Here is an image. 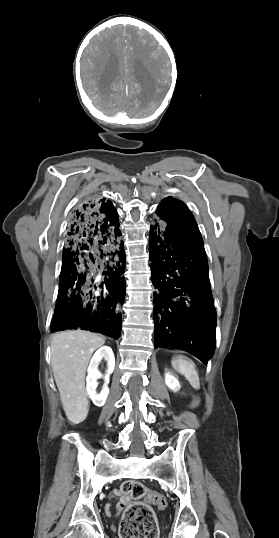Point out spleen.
<instances>
[{"label": "spleen", "mask_w": 279, "mask_h": 538, "mask_svg": "<svg viewBox=\"0 0 279 538\" xmlns=\"http://www.w3.org/2000/svg\"><path fill=\"white\" fill-rule=\"evenodd\" d=\"M171 366L174 368V370H176V372L183 374L193 388L199 387V378L193 362L183 360V356H180V358H173ZM196 392H199V389H196Z\"/></svg>", "instance_id": "obj_1"}]
</instances>
